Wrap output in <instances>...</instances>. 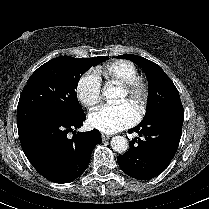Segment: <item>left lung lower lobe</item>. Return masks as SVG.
<instances>
[{
  "label": "left lung lower lobe",
  "mask_w": 209,
  "mask_h": 209,
  "mask_svg": "<svg viewBox=\"0 0 209 209\" xmlns=\"http://www.w3.org/2000/svg\"><path fill=\"white\" fill-rule=\"evenodd\" d=\"M183 121L184 112L164 113L131 129L129 132H137L143 139L132 140L128 151L117 157L121 170L138 180L163 172L178 149Z\"/></svg>",
  "instance_id": "obj_1"
}]
</instances>
